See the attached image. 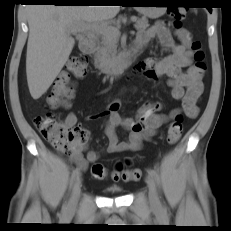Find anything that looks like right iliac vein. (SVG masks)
<instances>
[{
  "label": "right iliac vein",
  "mask_w": 231,
  "mask_h": 231,
  "mask_svg": "<svg viewBox=\"0 0 231 231\" xmlns=\"http://www.w3.org/2000/svg\"><path fill=\"white\" fill-rule=\"evenodd\" d=\"M82 179L78 177L73 185L72 195L68 203V210L73 212L76 209L80 193H81Z\"/></svg>",
  "instance_id": "right-iliac-vein-1"
}]
</instances>
